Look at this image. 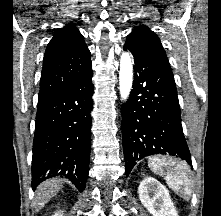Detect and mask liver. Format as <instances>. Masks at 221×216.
<instances>
[{
  "label": "liver",
  "instance_id": "obj_1",
  "mask_svg": "<svg viewBox=\"0 0 221 216\" xmlns=\"http://www.w3.org/2000/svg\"><path fill=\"white\" fill-rule=\"evenodd\" d=\"M63 181L64 179L61 178H52L37 187L34 199L36 211L42 209L60 191Z\"/></svg>",
  "mask_w": 221,
  "mask_h": 216
}]
</instances>
